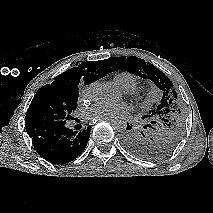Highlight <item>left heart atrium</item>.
<instances>
[{
    "instance_id": "1",
    "label": "left heart atrium",
    "mask_w": 213,
    "mask_h": 213,
    "mask_svg": "<svg viewBox=\"0 0 213 213\" xmlns=\"http://www.w3.org/2000/svg\"><path fill=\"white\" fill-rule=\"evenodd\" d=\"M126 112V106L123 104H107L98 102L84 112V116L89 120H99L113 117Z\"/></svg>"
}]
</instances>
